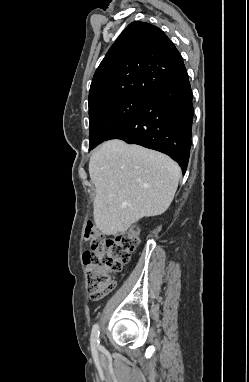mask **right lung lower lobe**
<instances>
[{
    "mask_svg": "<svg viewBox=\"0 0 249 382\" xmlns=\"http://www.w3.org/2000/svg\"><path fill=\"white\" fill-rule=\"evenodd\" d=\"M193 115L192 90L185 69L153 92L137 115L107 140L121 139L165 153L185 174Z\"/></svg>",
    "mask_w": 249,
    "mask_h": 382,
    "instance_id": "1",
    "label": "right lung lower lobe"
}]
</instances>
